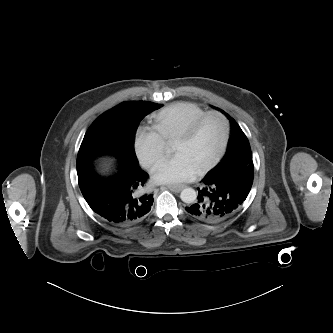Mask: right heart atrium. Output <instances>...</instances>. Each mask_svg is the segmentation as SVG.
Here are the masks:
<instances>
[{
    "label": "right heart atrium",
    "mask_w": 333,
    "mask_h": 333,
    "mask_svg": "<svg viewBox=\"0 0 333 333\" xmlns=\"http://www.w3.org/2000/svg\"><path fill=\"white\" fill-rule=\"evenodd\" d=\"M134 147L141 164L152 171L164 158L166 143L153 128L141 127L136 133Z\"/></svg>",
    "instance_id": "right-heart-atrium-1"
}]
</instances>
